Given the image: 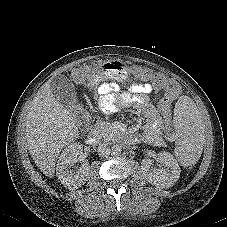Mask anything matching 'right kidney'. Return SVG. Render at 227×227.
<instances>
[{
	"label": "right kidney",
	"mask_w": 227,
	"mask_h": 227,
	"mask_svg": "<svg viewBox=\"0 0 227 227\" xmlns=\"http://www.w3.org/2000/svg\"><path fill=\"white\" fill-rule=\"evenodd\" d=\"M83 147L79 143H71L62 152L56 167V174L64 187L75 190L81 187L89 176V163L84 162L79 169L74 168L82 154Z\"/></svg>",
	"instance_id": "obj_1"
}]
</instances>
